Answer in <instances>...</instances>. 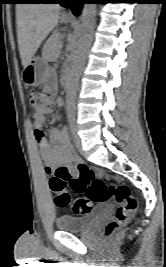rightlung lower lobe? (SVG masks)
<instances>
[{
	"instance_id": "98d812e1",
	"label": "right lung lower lobe",
	"mask_w": 166,
	"mask_h": 267,
	"mask_svg": "<svg viewBox=\"0 0 166 267\" xmlns=\"http://www.w3.org/2000/svg\"><path fill=\"white\" fill-rule=\"evenodd\" d=\"M53 0H27L28 3H50Z\"/></svg>"
}]
</instances>
